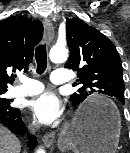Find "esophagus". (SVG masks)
<instances>
[{
	"instance_id": "1",
	"label": "esophagus",
	"mask_w": 130,
	"mask_h": 153,
	"mask_svg": "<svg viewBox=\"0 0 130 153\" xmlns=\"http://www.w3.org/2000/svg\"><path fill=\"white\" fill-rule=\"evenodd\" d=\"M43 25L45 40L48 44H50L53 41L55 35L53 24L48 19H45ZM54 140L55 134L53 132L47 133L43 137V144L45 147L49 148L54 143Z\"/></svg>"
}]
</instances>
